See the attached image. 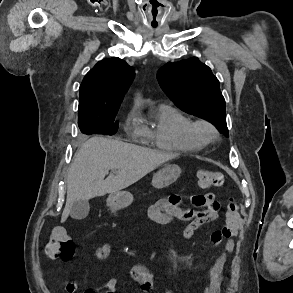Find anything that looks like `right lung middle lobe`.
Here are the masks:
<instances>
[{
  "label": "right lung middle lobe",
  "instance_id": "1",
  "mask_svg": "<svg viewBox=\"0 0 293 293\" xmlns=\"http://www.w3.org/2000/svg\"><path fill=\"white\" fill-rule=\"evenodd\" d=\"M117 112L99 114H79L78 125L82 133L90 134H114L118 130V122L115 121Z\"/></svg>",
  "mask_w": 293,
  "mask_h": 293
}]
</instances>
